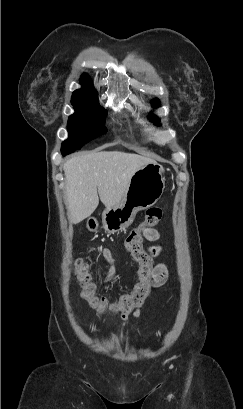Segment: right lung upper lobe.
<instances>
[{"mask_svg":"<svg viewBox=\"0 0 243 409\" xmlns=\"http://www.w3.org/2000/svg\"><path fill=\"white\" fill-rule=\"evenodd\" d=\"M82 88L74 91L71 102L85 103L97 101V92L89 84L90 77L83 74L81 77Z\"/></svg>","mask_w":243,"mask_h":409,"instance_id":"obj_1","label":"right lung upper lobe"}]
</instances>
